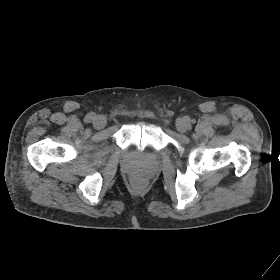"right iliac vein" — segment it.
I'll return each instance as SVG.
<instances>
[{
	"label": "right iliac vein",
	"instance_id": "63e3f726",
	"mask_svg": "<svg viewBox=\"0 0 280 280\" xmlns=\"http://www.w3.org/2000/svg\"><path fill=\"white\" fill-rule=\"evenodd\" d=\"M93 126L96 129H102L106 126V119L103 116H96L93 121Z\"/></svg>",
	"mask_w": 280,
	"mask_h": 280
}]
</instances>
